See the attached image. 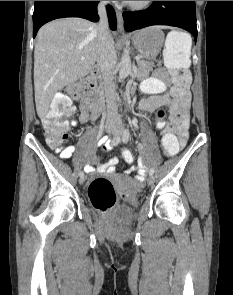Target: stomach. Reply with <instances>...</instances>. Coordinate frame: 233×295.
Here are the masks:
<instances>
[{
	"mask_svg": "<svg viewBox=\"0 0 233 295\" xmlns=\"http://www.w3.org/2000/svg\"><path fill=\"white\" fill-rule=\"evenodd\" d=\"M132 41L141 56L154 60L163 46L164 33L159 27L151 26L134 32Z\"/></svg>",
	"mask_w": 233,
	"mask_h": 295,
	"instance_id": "0dacf381",
	"label": "stomach"
}]
</instances>
